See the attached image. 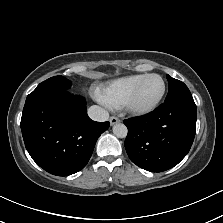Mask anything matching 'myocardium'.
I'll return each instance as SVG.
<instances>
[{"mask_svg":"<svg viewBox=\"0 0 223 223\" xmlns=\"http://www.w3.org/2000/svg\"><path fill=\"white\" fill-rule=\"evenodd\" d=\"M152 76H156L161 80L162 89H161L160 94L158 95L156 100L151 105H149L147 107L139 108V107L134 106L133 101L136 97V94L139 90L140 85L142 84V82L146 78L152 77ZM165 90H166L165 82H164V79L160 75H158L156 73L146 74L136 84L134 89L128 94L125 101L123 102V105L121 106V111L123 112V114L131 115V116H146V115H149V114L153 113L157 109V107L159 106V104H160V102H161V100H162V98L165 94Z\"/></svg>","mask_w":223,"mask_h":223,"instance_id":"myocardium-1","label":"myocardium"}]
</instances>
